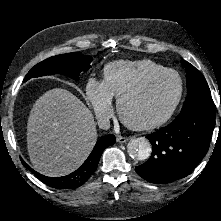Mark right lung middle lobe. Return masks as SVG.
<instances>
[{"mask_svg": "<svg viewBox=\"0 0 221 221\" xmlns=\"http://www.w3.org/2000/svg\"><path fill=\"white\" fill-rule=\"evenodd\" d=\"M91 61L92 57L80 52L53 56L35 65L25 76L24 82L33 77L55 73L76 79L81 72L90 68Z\"/></svg>", "mask_w": 221, "mask_h": 221, "instance_id": "dd1d6c3e", "label": "right lung middle lobe"}]
</instances>
